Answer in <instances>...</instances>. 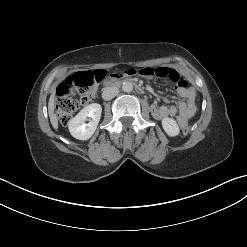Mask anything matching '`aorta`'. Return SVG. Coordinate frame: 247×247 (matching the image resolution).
<instances>
[{"instance_id":"762f6f07","label":"aorta","mask_w":247,"mask_h":247,"mask_svg":"<svg viewBox=\"0 0 247 247\" xmlns=\"http://www.w3.org/2000/svg\"><path fill=\"white\" fill-rule=\"evenodd\" d=\"M122 90L127 93L132 92L133 84L131 82H124L122 84Z\"/></svg>"}]
</instances>
